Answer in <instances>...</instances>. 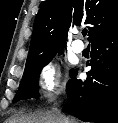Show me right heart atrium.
Listing matches in <instances>:
<instances>
[{"instance_id":"1","label":"right heart atrium","mask_w":118,"mask_h":123,"mask_svg":"<svg viewBox=\"0 0 118 123\" xmlns=\"http://www.w3.org/2000/svg\"><path fill=\"white\" fill-rule=\"evenodd\" d=\"M38 87L43 96L50 100L63 88L61 69L53 61L46 63L38 73Z\"/></svg>"}]
</instances>
